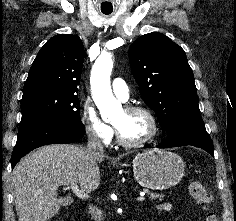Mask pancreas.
I'll list each match as a JSON object with an SVG mask.
<instances>
[{"mask_svg": "<svg viewBox=\"0 0 236 221\" xmlns=\"http://www.w3.org/2000/svg\"><path fill=\"white\" fill-rule=\"evenodd\" d=\"M150 194L151 200L159 199L160 201L163 200L164 195L163 194H158V193H153V192H148Z\"/></svg>", "mask_w": 236, "mask_h": 221, "instance_id": "pancreas-1", "label": "pancreas"}]
</instances>
